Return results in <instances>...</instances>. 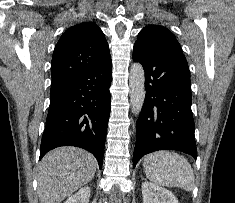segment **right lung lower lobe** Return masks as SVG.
Here are the masks:
<instances>
[{
	"label": "right lung lower lobe",
	"instance_id": "1",
	"mask_svg": "<svg viewBox=\"0 0 235 203\" xmlns=\"http://www.w3.org/2000/svg\"><path fill=\"white\" fill-rule=\"evenodd\" d=\"M111 68L110 57L51 86L40 159L56 147L77 146L91 152L102 167L110 113Z\"/></svg>",
	"mask_w": 235,
	"mask_h": 203
}]
</instances>
